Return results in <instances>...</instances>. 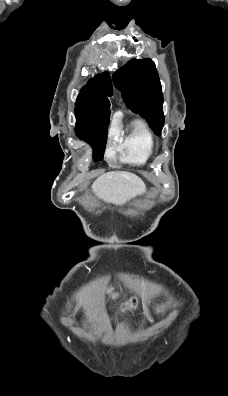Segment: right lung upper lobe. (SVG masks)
<instances>
[{
	"mask_svg": "<svg viewBox=\"0 0 228 396\" xmlns=\"http://www.w3.org/2000/svg\"><path fill=\"white\" fill-rule=\"evenodd\" d=\"M112 94L113 89L109 73L104 72L102 75H96L81 90L77 98L76 117L86 119L108 113L110 102L107 96Z\"/></svg>",
	"mask_w": 228,
	"mask_h": 396,
	"instance_id": "right-lung-upper-lobe-1",
	"label": "right lung upper lobe"
}]
</instances>
